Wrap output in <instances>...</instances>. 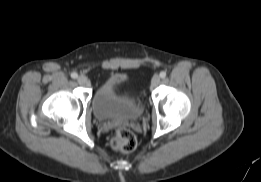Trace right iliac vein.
Masks as SVG:
<instances>
[{
  "instance_id": "63e3f726",
  "label": "right iliac vein",
  "mask_w": 261,
  "mask_h": 182,
  "mask_svg": "<svg viewBox=\"0 0 261 182\" xmlns=\"http://www.w3.org/2000/svg\"><path fill=\"white\" fill-rule=\"evenodd\" d=\"M77 81L80 85H86L88 83V79L86 76L84 75H80L78 78H77Z\"/></svg>"
}]
</instances>
